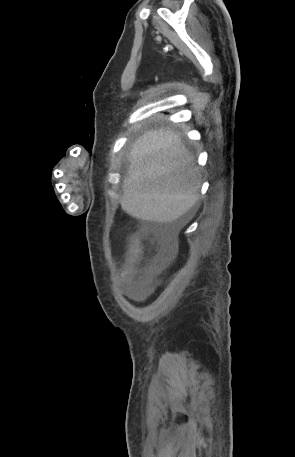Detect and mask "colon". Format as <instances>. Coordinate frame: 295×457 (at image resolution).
<instances>
[{
    "label": "colon",
    "instance_id": "colon-1",
    "mask_svg": "<svg viewBox=\"0 0 295 457\" xmlns=\"http://www.w3.org/2000/svg\"><path fill=\"white\" fill-rule=\"evenodd\" d=\"M143 251L144 249L141 241L137 237L133 238L130 245L127 266L130 267L134 262H136L142 256Z\"/></svg>",
    "mask_w": 295,
    "mask_h": 457
}]
</instances>
